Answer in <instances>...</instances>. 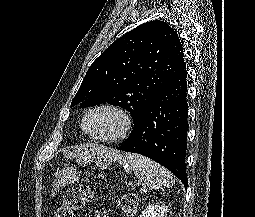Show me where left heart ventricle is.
Listing matches in <instances>:
<instances>
[{
    "label": "left heart ventricle",
    "mask_w": 255,
    "mask_h": 217,
    "mask_svg": "<svg viewBox=\"0 0 255 217\" xmlns=\"http://www.w3.org/2000/svg\"><path fill=\"white\" fill-rule=\"evenodd\" d=\"M120 126L119 117L108 110H97L91 113L86 122V129L98 136H107L113 134Z\"/></svg>",
    "instance_id": "1"
}]
</instances>
